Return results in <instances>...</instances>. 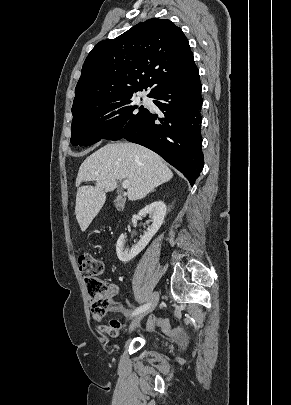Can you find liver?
I'll return each mask as SVG.
<instances>
[{
	"instance_id": "6515ba94",
	"label": "liver",
	"mask_w": 291,
	"mask_h": 405,
	"mask_svg": "<svg viewBox=\"0 0 291 405\" xmlns=\"http://www.w3.org/2000/svg\"><path fill=\"white\" fill-rule=\"evenodd\" d=\"M173 177L162 158L153 151L129 142L111 143L88 156L81 164L76 179L75 215L85 231L99 213L106 193L117 187V181L128 180V199H143L159 185ZM96 181L93 186H80L83 181Z\"/></svg>"
}]
</instances>
